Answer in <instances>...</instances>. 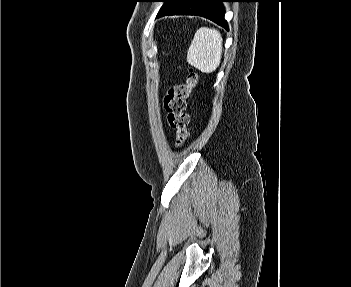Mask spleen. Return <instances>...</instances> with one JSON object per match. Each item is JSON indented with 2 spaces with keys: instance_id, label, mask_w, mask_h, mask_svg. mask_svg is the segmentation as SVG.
I'll return each instance as SVG.
<instances>
[{
  "instance_id": "3e777b00",
  "label": "spleen",
  "mask_w": 351,
  "mask_h": 287,
  "mask_svg": "<svg viewBox=\"0 0 351 287\" xmlns=\"http://www.w3.org/2000/svg\"><path fill=\"white\" fill-rule=\"evenodd\" d=\"M222 37L213 28L201 27L194 35L187 52V62L204 73L217 69L222 55Z\"/></svg>"
}]
</instances>
